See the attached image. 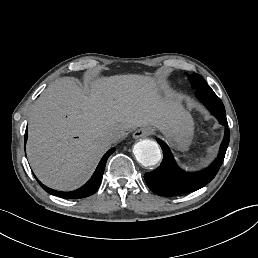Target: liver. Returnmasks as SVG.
I'll use <instances>...</instances> for the list:
<instances>
[{"instance_id": "liver-1", "label": "liver", "mask_w": 258, "mask_h": 258, "mask_svg": "<svg viewBox=\"0 0 258 258\" xmlns=\"http://www.w3.org/2000/svg\"><path fill=\"white\" fill-rule=\"evenodd\" d=\"M62 78L37 99L28 122L27 156L37 178L56 190L83 185L110 148L108 132L157 128L173 137L181 124V100L164 79L129 74L98 78L90 89ZM165 89L162 97L157 84Z\"/></svg>"}]
</instances>
